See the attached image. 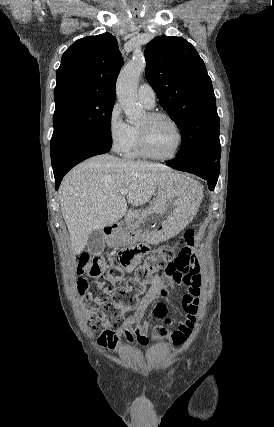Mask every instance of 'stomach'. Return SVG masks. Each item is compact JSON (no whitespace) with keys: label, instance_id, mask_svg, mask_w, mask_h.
Instances as JSON below:
<instances>
[{"label":"stomach","instance_id":"0dacf381","mask_svg":"<svg viewBox=\"0 0 274 427\" xmlns=\"http://www.w3.org/2000/svg\"><path fill=\"white\" fill-rule=\"evenodd\" d=\"M200 190H194V180L181 176L170 178L165 188H159L156 202L151 208L144 210L137 221L129 223L127 227L117 225L111 233L106 235L110 247L131 245L135 241L159 243L166 241L180 229H183L195 214L198 208Z\"/></svg>","mask_w":274,"mask_h":427}]
</instances>
